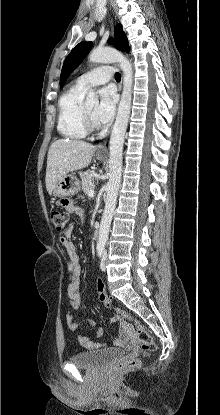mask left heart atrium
<instances>
[{
    "label": "left heart atrium",
    "mask_w": 220,
    "mask_h": 415,
    "mask_svg": "<svg viewBox=\"0 0 220 415\" xmlns=\"http://www.w3.org/2000/svg\"><path fill=\"white\" fill-rule=\"evenodd\" d=\"M99 95L100 100L93 112V120L97 124H106L114 116L117 96L111 87L101 89Z\"/></svg>",
    "instance_id": "39dd6f15"
}]
</instances>
